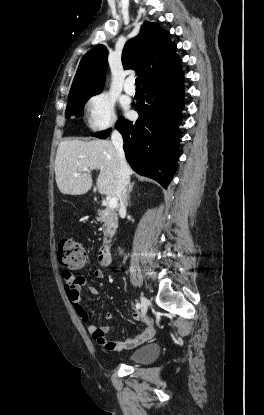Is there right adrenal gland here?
<instances>
[{
	"instance_id": "obj_1",
	"label": "right adrenal gland",
	"mask_w": 264,
	"mask_h": 415,
	"mask_svg": "<svg viewBox=\"0 0 264 415\" xmlns=\"http://www.w3.org/2000/svg\"><path fill=\"white\" fill-rule=\"evenodd\" d=\"M134 186V182L130 183L128 186V191H127V200H128V204H130V192L132 191Z\"/></svg>"
}]
</instances>
